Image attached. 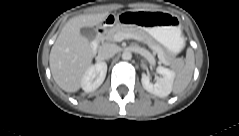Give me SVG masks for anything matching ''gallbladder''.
I'll return each mask as SVG.
<instances>
[{
	"label": "gallbladder",
	"mask_w": 239,
	"mask_h": 136,
	"mask_svg": "<svg viewBox=\"0 0 239 136\" xmlns=\"http://www.w3.org/2000/svg\"><path fill=\"white\" fill-rule=\"evenodd\" d=\"M81 35L89 41H92L96 37V31L93 27H82L80 29Z\"/></svg>",
	"instance_id": "obj_1"
}]
</instances>
